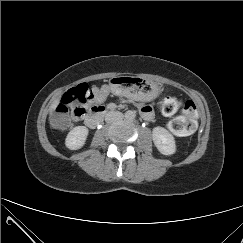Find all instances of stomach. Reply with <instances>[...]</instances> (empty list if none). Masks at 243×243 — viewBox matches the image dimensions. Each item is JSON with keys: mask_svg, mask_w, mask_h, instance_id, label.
<instances>
[{"mask_svg": "<svg viewBox=\"0 0 243 243\" xmlns=\"http://www.w3.org/2000/svg\"><path fill=\"white\" fill-rule=\"evenodd\" d=\"M111 90L120 95L133 99L150 100L160 93L158 83L151 80H142L132 76H117L110 81Z\"/></svg>", "mask_w": 243, "mask_h": 243, "instance_id": "0dacf381", "label": "stomach"}]
</instances>
